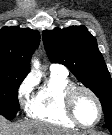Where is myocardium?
<instances>
[{
    "mask_svg": "<svg viewBox=\"0 0 112 135\" xmlns=\"http://www.w3.org/2000/svg\"><path fill=\"white\" fill-rule=\"evenodd\" d=\"M80 91H84L88 93L93 100L95 101L97 108H98V117L96 121L90 125L83 124L79 118L76 115L75 108H74V98L76 94ZM63 102H64V107L66 109V112L68 116L71 118V120L79 127L81 128H92L96 126L102 119L103 116V106L101 103L100 98L97 96V94L90 89L87 86L84 85H73L69 89H67L63 95Z\"/></svg>",
    "mask_w": 112,
    "mask_h": 135,
    "instance_id": "1",
    "label": "myocardium"
}]
</instances>
